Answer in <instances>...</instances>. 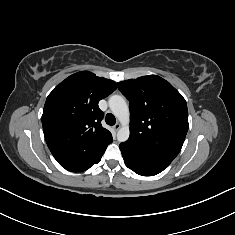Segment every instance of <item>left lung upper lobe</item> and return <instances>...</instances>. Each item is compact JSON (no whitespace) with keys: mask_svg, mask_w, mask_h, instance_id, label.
<instances>
[{"mask_svg":"<svg viewBox=\"0 0 235 235\" xmlns=\"http://www.w3.org/2000/svg\"><path fill=\"white\" fill-rule=\"evenodd\" d=\"M130 101L131 146L173 161L188 131L185 99L166 80L157 75L117 83Z\"/></svg>","mask_w":235,"mask_h":235,"instance_id":"obj_1","label":"left lung upper lobe"}]
</instances>
